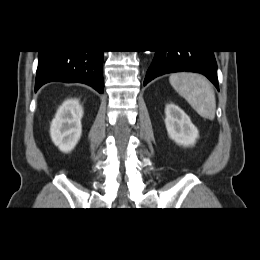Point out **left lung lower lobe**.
Returning a JSON list of instances; mask_svg holds the SVG:
<instances>
[{
	"mask_svg": "<svg viewBox=\"0 0 260 260\" xmlns=\"http://www.w3.org/2000/svg\"><path fill=\"white\" fill-rule=\"evenodd\" d=\"M181 71L201 73L219 90L213 51H156L144 85L160 75Z\"/></svg>",
	"mask_w": 260,
	"mask_h": 260,
	"instance_id": "left-lung-lower-lobe-1",
	"label": "left lung lower lobe"
}]
</instances>
